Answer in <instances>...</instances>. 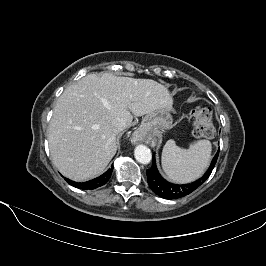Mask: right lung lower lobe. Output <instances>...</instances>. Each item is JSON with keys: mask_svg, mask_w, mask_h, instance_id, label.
Masks as SVG:
<instances>
[{"mask_svg": "<svg viewBox=\"0 0 266 266\" xmlns=\"http://www.w3.org/2000/svg\"><path fill=\"white\" fill-rule=\"evenodd\" d=\"M113 171V165L111 166V168H109L104 174H102L101 176L87 181V182H74L70 179H65L70 185L79 188V189H84V190H93L95 188H98L104 184L107 183V181L109 180V178L111 177Z\"/></svg>", "mask_w": 266, "mask_h": 266, "instance_id": "right-lung-lower-lobe-1", "label": "right lung lower lobe"}]
</instances>
